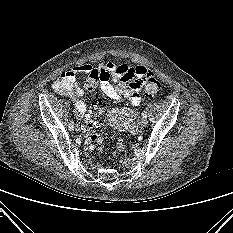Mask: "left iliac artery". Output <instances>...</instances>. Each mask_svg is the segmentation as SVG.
<instances>
[{"label":"left iliac artery","mask_w":233,"mask_h":233,"mask_svg":"<svg viewBox=\"0 0 233 233\" xmlns=\"http://www.w3.org/2000/svg\"><path fill=\"white\" fill-rule=\"evenodd\" d=\"M142 117H143V118H147V112H146V111H143V112H142Z\"/></svg>","instance_id":"44dca946"}]
</instances>
